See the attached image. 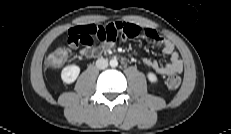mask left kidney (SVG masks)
Masks as SVG:
<instances>
[{"label":"left kidney","instance_id":"1","mask_svg":"<svg viewBox=\"0 0 231 134\" xmlns=\"http://www.w3.org/2000/svg\"><path fill=\"white\" fill-rule=\"evenodd\" d=\"M147 77H148V80L151 82V83H157L158 79H157V76L152 73V72H149L147 74Z\"/></svg>","mask_w":231,"mask_h":134}]
</instances>
